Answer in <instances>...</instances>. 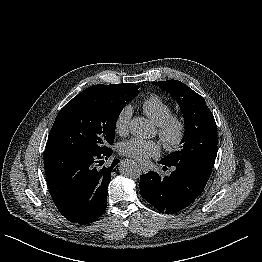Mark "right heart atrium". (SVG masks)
I'll use <instances>...</instances> for the list:
<instances>
[{
	"label": "right heart atrium",
	"instance_id": "obj_1",
	"mask_svg": "<svg viewBox=\"0 0 262 262\" xmlns=\"http://www.w3.org/2000/svg\"><path fill=\"white\" fill-rule=\"evenodd\" d=\"M132 107L130 105H125L117 114L114 127L115 131L119 135L127 134L129 130V125L132 117Z\"/></svg>",
	"mask_w": 262,
	"mask_h": 262
}]
</instances>
